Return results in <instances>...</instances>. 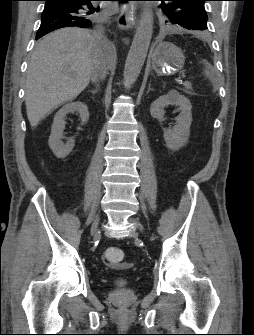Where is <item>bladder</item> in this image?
<instances>
[{
    "label": "bladder",
    "mask_w": 254,
    "mask_h": 335,
    "mask_svg": "<svg viewBox=\"0 0 254 335\" xmlns=\"http://www.w3.org/2000/svg\"><path fill=\"white\" fill-rule=\"evenodd\" d=\"M128 281L129 279L126 273H116L113 279V284L117 289H126Z\"/></svg>",
    "instance_id": "obj_1"
}]
</instances>
